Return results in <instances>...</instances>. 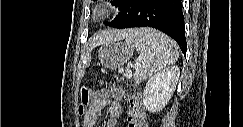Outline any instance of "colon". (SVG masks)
<instances>
[{
  "label": "colon",
  "mask_w": 243,
  "mask_h": 127,
  "mask_svg": "<svg viewBox=\"0 0 243 127\" xmlns=\"http://www.w3.org/2000/svg\"><path fill=\"white\" fill-rule=\"evenodd\" d=\"M107 97H110L115 101L125 99L128 102L125 120L127 127H146L143 108L138 103L135 96L126 94L124 89L121 87H113L109 94H106L105 92L93 93L87 87H82L80 90V104L78 106V112L83 114L86 106L91 105L93 102L101 101Z\"/></svg>",
  "instance_id": "1"
}]
</instances>
